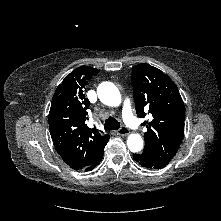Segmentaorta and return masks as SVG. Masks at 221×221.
<instances>
[{
    "instance_id": "762f6f07",
    "label": "aorta",
    "mask_w": 221,
    "mask_h": 221,
    "mask_svg": "<svg viewBox=\"0 0 221 221\" xmlns=\"http://www.w3.org/2000/svg\"><path fill=\"white\" fill-rule=\"evenodd\" d=\"M100 101L108 106H118L121 103V95L118 88L111 82H103L97 88ZM127 146L130 151L138 152L143 148V139L139 134H130L127 138Z\"/></svg>"
}]
</instances>
